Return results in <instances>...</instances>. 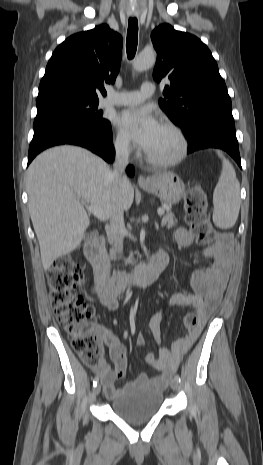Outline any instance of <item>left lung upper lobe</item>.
Wrapping results in <instances>:
<instances>
[{"instance_id":"left-lung-upper-lobe-1","label":"left lung upper lobe","mask_w":263,"mask_h":465,"mask_svg":"<svg viewBox=\"0 0 263 465\" xmlns=\"http://www.w3.org/2000/svg\"><path fill=\"white\" fill-rule=\"evenodd\" d=\"M157 61L153 78L171 81L164 88L167 101L159 105L185 136L211 115L233 119L231 99L208 47L196 36L162 24L151 34Z\"/></svg>"}]
</instances>
